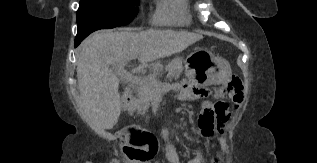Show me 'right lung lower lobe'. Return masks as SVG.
Wrapping results in <instances>:
<instances>
[{
    "label": "right lung lower lobe",
    "instance_id": "1",
    "mask_svg": "<svg viewBox=\"0 0 317 163\" xmlns=\"http://www.w3.org/2000/svg\"><path fill=\"white\" fill-rule=\"evenodd\" d=\"M82 40H75V47H77Z\"/></svg>",
    "mask_w": 317,
    "mask_h": 163
}]
</instances>
